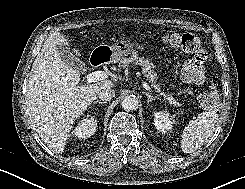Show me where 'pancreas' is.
<instances>
[{
  "label": "pancreas",
  "instance_id": "cf45deb5",
  "mask_svg": "<svg viewBox=\"0 0 245 189\" xmlns=\"http://www.w3.org/2000/svg\"><path fill=\"white\" fill-rule=\"evenodd\" d=\"M121 67L125 68L128 67L130 64L132 65H140L142 67L143 74L148 78L149 82H151L153 88L157 92H161L160 94L165 97V99L169 100L171 103H175L176 101L172 97V95L167 96L164 92H162L160 86L156 84V81L158 79L157 74L154 71V66L152 63L149 62L148 59H145L144 57H138V55L135 53L131 57L127 58L124 57L120 60Z\"/></svg>",
  "mask_w": 245,
  "mask_h": 189
}]
</instances>
